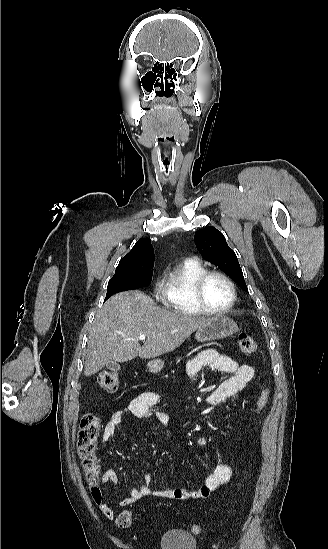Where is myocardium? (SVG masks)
I'll use <instances>...</instances> for the list:
<instances>
[{"label": "myocardium", "instance_id": "myocardium-1", "mask_svg": "<svg viewBox=\"0 0 328 549\" xmlns=\"http://www.w3.org/2000/svg\"><path fill=\"white\" fill-rule=\"evenodd\" d=\"M212 276H219L223 278L231 288L232 297L230 303L224 309L219 311L210 310L202 306L207 304L204 297V287L207 280ZM237 296V287L232 277L219 268H209L202 272L195 280L193 287L195 305H193L192 308L200 315L221 318L232 312L237 302Z\"/></svg>", "mask_w": 328, "mask_h": 549}]
</instances>
